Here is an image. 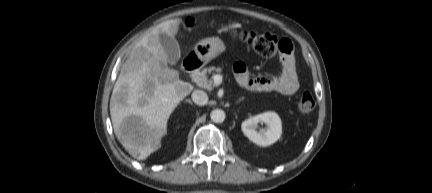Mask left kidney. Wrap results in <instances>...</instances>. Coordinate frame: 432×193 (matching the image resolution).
Returning <instances> with one entry per match:
<instances>
[{"label": "left kidney", "instance_id": "1", "mask_svg": "<svg viewBox=\"0 0 432 193\" xmlns=\"http://www.w3.org/2000/svg\"><path fill=\"white\" fill-rule=\"evenodd\" d=\"M260 122L265 123L266 128L257 131ZM241 129L249 140L265 147L275 143L281 137L282 123L277 113L264 112L243 121Z\"/></svg>", "mask_w": 432, "mask_h": 193}]
</instances>
